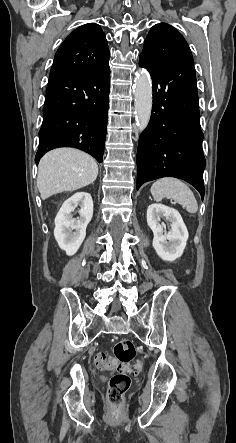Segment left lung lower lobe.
Segmentation results:
<instances>
[{"mask_svg":"<svg viewBox=\"0 0 236 443\" xmlns=\"http://www.w3.org/2000/svg\"><path fill=\"white\" fill-rule=\"evenodd\" d=\"M139 66L152 76L153 105L139 139L137 190L147 181L176 177L193 185L203 199L206 161L194 65L151 62L140 55Z\"/></svg>","mask_w":236,"mask_h":443,"instance_id":"left-lung-lower-lobe-1","label":"left lung lower lobe"}]
</instances>
